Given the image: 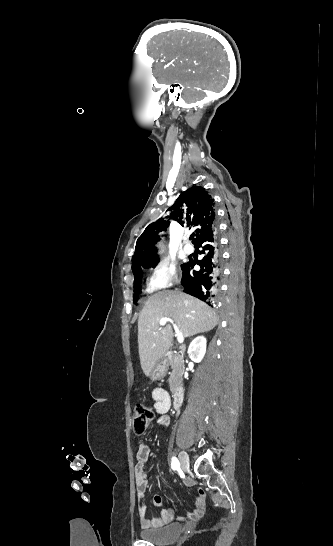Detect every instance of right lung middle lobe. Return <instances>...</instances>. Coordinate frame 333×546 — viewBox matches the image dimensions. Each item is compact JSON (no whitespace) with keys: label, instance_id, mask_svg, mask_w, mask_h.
Segmentation results:
<instances>
[{"label":"right lung middle lobe","instance_id":"right-lung-middle-lobe-1","mask_svg":"<svg viewBox=\"0 0 333 546\" xmlns=\"http://www.w3.org/2000/svg\"><path fill=\"white\" fill-rule=\"evenodd\" d=\"M154 268V267H153ZM139 285H140V273L135 275L134 279V296L133 301H137L138 293H139Z\"/></svg>","mask_w":333,"mask_h":546}]
</instances>
